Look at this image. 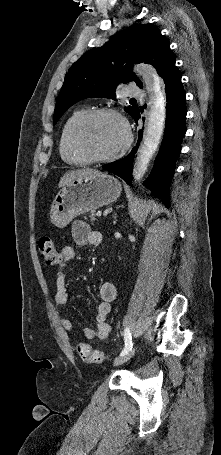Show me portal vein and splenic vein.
<instances>
[{
	"instance_id": "18ae733b",
	"label": "portal vein and splenic vein",
	"mask_w": 221,
	"mask_h": 455,
	"mask_svg": "<svg viewBox=\"0 0 221 455\" xmlns=\"http://www.w3.org/2000/svg\"><path fill=\"white\" fill-rule=\"evenodd\" d=\"M98 217H101L102 213L101 212H97L96 214Z\"/></svg>"
}]
</instances>
